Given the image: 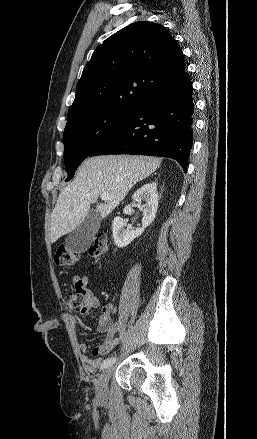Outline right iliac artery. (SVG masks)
I'll use <instances>...</instances> for the list:
<instances>
[{"instance_id": "right-iliac-artery-1", "label": "right iliac artery", "mask_w": 257, "mask_h": 439, "mask_svg": "<svg viewBox=\"0 0 257 439\" xmlns=\"http://www.w3.org/2000/svg\"><path fill=\"white\" fill-rule=\"evenodd\" d=\"M116 358L115 357H108L106 358L103 363L101 364V369L107 368L109 366H111L114 362H115Z\"/></svg>"}]
</instances>
